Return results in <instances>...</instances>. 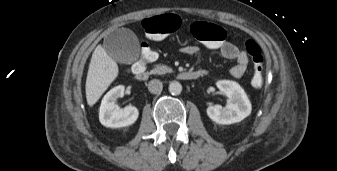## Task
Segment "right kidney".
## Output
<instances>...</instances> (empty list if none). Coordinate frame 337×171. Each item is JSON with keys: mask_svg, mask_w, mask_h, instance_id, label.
<instances>
[{"mask_svg": "<svg viewBox=\"0 0 337 171\" xmlns=\"http://www.w3.org/2000/svg\"><path fill=\"white\" fill-rule=\"evenodd\" d=\"M124 90V86H116L102 99L99 120L103 126L110 128L126 127L137 120L139 111L136 107L127 106L121 109L116 104L117 99L124 96Z\"/></svg>", "mask_w": 337, "mask_h": 171, "instance_id": "right-kidney-1", "label": "right kidney"}]
</instances>
